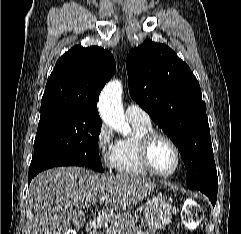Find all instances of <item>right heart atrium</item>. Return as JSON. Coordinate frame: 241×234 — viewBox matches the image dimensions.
Returning a JSON list of instances; mask_svg holds the SVG:
<instances>
[{
	"label": "right heart atrium",
	"instance_id": "obj_1",
	"mask_svg": "<svg viewBox=\"0 0 241 234\" xmlns=\"http://www.w3.org/2000/svg\"><path fill=\"white\" fill-rule=\"evenodd\" d=\"M115 144L112 130L106 124H101L96 134V147L103 164L108 168H112Z\"/></svg>",
	"mask_w": 241,
	"mask_h": 234
}]
</instances>
